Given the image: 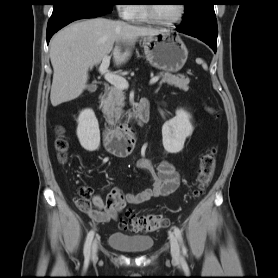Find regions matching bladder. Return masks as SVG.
<instances>
[{"label":"bladder","instance_id":"1","mask_svg":"<svg viewBox=\"0 0 278 278\" xmlns=\"http://www.w3.org/2000/svg\"><path fill=\"white\" fill-rule=\"evenodd\" d=\"M110 247L124 252H145L152 248L154 241L148 235H128L122 232H113L108 237Z\"/></svg>","mask_w":278,"mask_h":278}]
</instances>
